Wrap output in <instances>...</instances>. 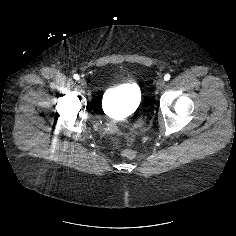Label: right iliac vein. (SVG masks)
I'll return each mask as SVG.
<instances>
[{"label":"right iliac vein","instance_id":"1","mask_svg":"<svg viewBox=\"0 0 236 236\" xmlns=\"http://www.w3.org/2000/svg\"><path fill=\"white\" fill-rule=\"evenodd\" d=\"M79 84H80L82 87H86V86H87V82H86V80H84V79H80V80H79Z\"/></svg>","mask_w":236,"mask_h":236}]
</instances>
